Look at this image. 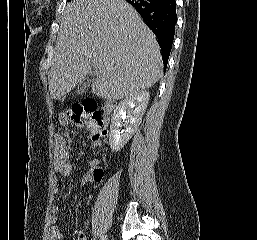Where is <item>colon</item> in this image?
I'll return each instance as SVG.
<instances>
[{
	"instance_id": "obj_1",
	"label": "colon",
	"mask_w": 257,
	"mask_h": 240,
	"mask_svg": "<svg viewBox=\"0 0 257 240\" xmlns=\"http://www.w3.org/2000/svg\"><path fill=\"white\" fill-rule=\"evenodd\" d=\"M67 117L76 124H86L93 133V141L95 144L98 146L102 145L106 136V131L102 129V113L94 100H85L74 104L67 112ZM95 174L97 176H102L103 169L98 166L95 169Z\"/></svg>"
}]
</instances>
